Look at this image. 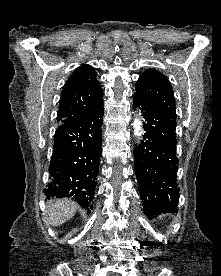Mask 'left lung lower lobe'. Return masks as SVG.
Wrapping results in <instances>:
<instances>
[{
  "instance_id": "obj_1",
  "label": "left lung lower lobe",
  "mask_w": 221,
  "mask_h": 276,
  "mask_svg": "<svg viewBox=\"0 0 221 276\" xmlns=\"http://www.w3.org/2000/svg\"><path fill=\"white\" fill-rule=\"evenodd\" d=\"M133 106L144 118L143 140L135 147V173L144 213L151 219L177 212L176 121L149 109L137 96L133 97Z\"/></svg>"
}]
</instances>
